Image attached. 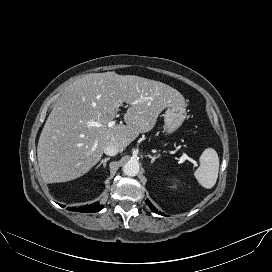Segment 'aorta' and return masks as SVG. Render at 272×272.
I'll return each mask as SVG.
<instances>
[{
    "instance_id": "obj_1",
    "label": "aorta",
    "mask_w": 272,
    "mask_h": 272,
    "mask_svg": "<svg viewBox=\"0 0 272 272\" xmlns=\"http://www.w3.org/2000/svg\"><path fill=\"white\" fill-rule=\"evenodd\" d=\"M140 165L135 159H131L123 166V173L127 176H136L139 173Z\"/></svg>"
}]
</instances>
